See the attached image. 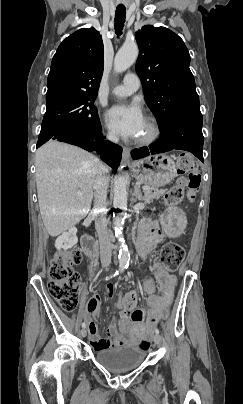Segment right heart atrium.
I'll list each match as a JSON object with an SVG mask.
<instances>
[{"mask_svg": "<svg viewBox=\"0 0 243 404\" xmlns=\"http://www.w3.org/2000/svg\"><path fill=\"white\" fill-rule=\"evenodd\" d=\"M106 139H107L110 143H117V142H118V137H117L115 134H113V133H107Z\"/></svg>", "mask_w": 243, "mask_h": 404, "instance_id": "d8ad5b80", "label": "right heart atrium"}]
</instances>
